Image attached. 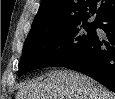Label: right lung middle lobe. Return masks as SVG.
I'll use <instances>...</instances> for the list:
<instances>
[{"label":"right lung middle lobe","instance_id":"obj_1","mask_svg":"<svg viewBox=\"0 0 115 99\" xmlns=\"http://www.w3.org/2000/svg\"><path fill=\"white\" fill-rule=\"evenodd\" d=\"M99 23H78L45 34L27 37L18 77L41 67H64L75 60L96 37Z\"/></svg>","mask_w":115,"mask_h":99}]
</instances>
